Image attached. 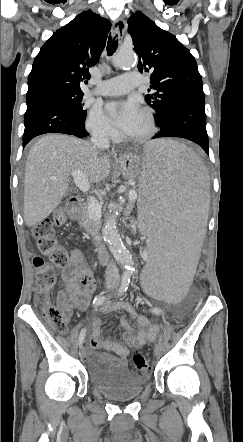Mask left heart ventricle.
I'll use <instances>...</instances> for the list:
<instances>
[{"label": "left heart ventricle", "mask_w": 243, "mask_h": 442, "mask_svg": "<svg viewBox=\"0 0 243 442\" xmlns=\"http://www.w3.org/2000/svg\"><path fill=\"white\" fill-rule=\"evenodd\" d=\"M149 130V122L147 116L141 112L137 122L133 128L127 133V136L135 137L145 134Z\"/></svg>", "instance_id": "1"}]
</instances>
